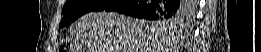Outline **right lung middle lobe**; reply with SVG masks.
Returning <instances> with one entry per match:
<instances>
[{"instance_id":"obj_1","label":"right lung middle lobe","mask_w":261,"mask_h":52,"mask_svg":"<svg viewBox=\"0 0 261 52\" xmlns=\"http://www.w3.org/2000/svg\"><path fill=\"white\" fill-rule=\"evenodd\" d=\"M114 0H67L63 9V19L59 27H64L69 25L71 22L76 20L78 17L85 13L91 11H101L113 4ZM191 1H184V6L186 9L190 10ZM155 20L161 21L164 25L168 27H174L175 24L185 23V17H176L174 19L159 17Z\"/></svg>"}]
</instances>
